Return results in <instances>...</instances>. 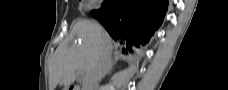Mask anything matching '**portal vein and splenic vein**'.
<instances>
[{
    "label": "portal vein and splenic vein",
    "mask_w": 228,
    "mask_h": 90,
    "mask_svg": "<svg viewBox=\"0 0 228 90\" xmlns=\"http://www.w3.org/2000/svg\"><path fill=\"white\" fill-rule=\"evenodd\" d=\"M77 72H78L79 74H81V75L84 74L82 70H78Z\"/></svg>",
    "instance_id": "portal-vein-and-splenic-vein-1"
}]
</instances>
